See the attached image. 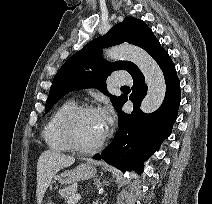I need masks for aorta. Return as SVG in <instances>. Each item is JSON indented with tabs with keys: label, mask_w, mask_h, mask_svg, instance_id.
Returning a JSON list of instances; mask_svg holds the SVG:
<instances>
[{
	"label": "aorta",
	"mask_w": 212,
	"mask_h": 204,
	"mask_svg": "<svg viewBox=\"0 0 212 204\" xmlns=\"http://www.w3.org/2000/svg\"><path fill=\"white\" fill-rule=\"evenodd\" d=\"M105 56L113 61H131L144 75L148 92L140 106L142 112L149 114L161 106L166 93L165 78L159 65L146 51L137 46L125 44L110 48Z\"/></svg>",
	"instance_id": "762f6f07"
}]
</instances>
